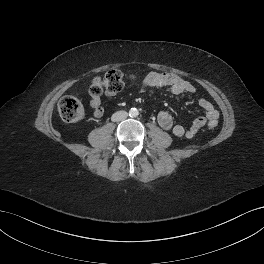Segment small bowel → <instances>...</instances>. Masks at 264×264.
Wrapping results in <instances>:
<instances>
[{"instance_id": "small-bowel-1", "label": "small bowel", "mask_w": 264, "mask_h": 264, "mask_svg": "<svg viewBox=\"0 0 264 264\" xmlns=\"http://www.w3.org/2000/svg\"><path fill=\"white\" fill-rule=\"evenodd\" d=\"M160 88L173 95H181L184 93L195 94L196 88L188 81L182 79L173 73L150 72L146 75L142 89ZM111 94V93H109ZM198 105L205 112V116H200L191 121L188 128L176 123L167 111H161L158 114V123L166 131L172 132L177 137H185L192 139L199 130L210 120H218L219 112L214 105L203 97H199ZM90 105L93 115L100 118L104 115V108L101 104L99 96H91Z\"/></svg>"}]
</instances>
